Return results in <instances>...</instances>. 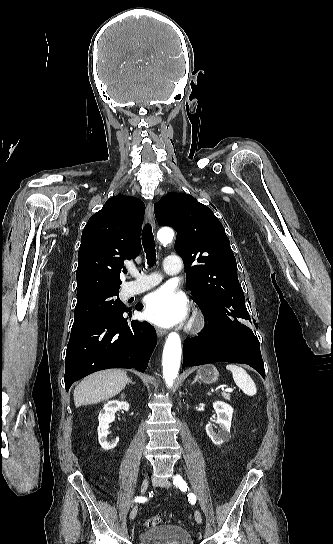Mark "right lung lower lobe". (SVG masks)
Here are the masks:
<instances>
[{"instance_id": "98d812e1", "label": "right lung lower lobe", "mask_w": 333, "mask_h": 544, "mask_svg": "<svg viewBox=\"0 0 333 544\" xmlns=\"http://www.w3.org/2000/svg\"><path fill=\"white\" fill-rule=\"evenodd\" d=\"M142 305H136L137 310ZM131 309L103 318L71 333L66 351L65 388L99 370L135 368L144 372L156 346V332L148 322L131 321Z\"/></svg>"}]
</instances>
